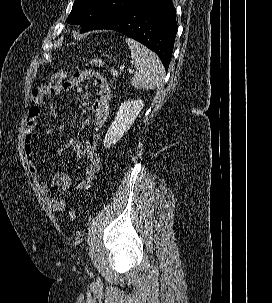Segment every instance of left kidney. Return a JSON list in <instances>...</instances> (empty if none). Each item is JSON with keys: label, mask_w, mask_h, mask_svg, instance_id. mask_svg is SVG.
Wrapping results in <instances>:
<instances>
[{"label": "left kidney", "mask_w": 272, "mask_h": 303, "mask_svg": "<svg viewBox=\"0 0 272 303\" xmlns=\"http://www.w3.org/2000/svg\"><path fill=\"white\" fill-rule=\"evenodd\" d=\"M143 106L144 103L141 99L128 100L121 104L104 138V146L106 148H110L124 136L134 123Z\"/></svg>", "instance_id": "left-kidney-1"}]
</instances>
